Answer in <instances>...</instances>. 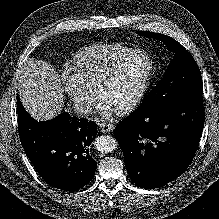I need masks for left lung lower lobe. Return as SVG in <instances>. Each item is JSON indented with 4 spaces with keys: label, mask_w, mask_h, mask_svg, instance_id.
Masks as SVG:
<instances>
[{
    "label": "left lung lower lobe",
    "mask_w": 219,
    "mask_h": 219,
    "mask_svg": "<svg viewBox=\"0 0 219 219\" xmlns=\"http://www.w3.org/2000/svg\"><path fill=\"white\" fill-rule=\"evenodd\" d=\"M204 116L202 95H194L120 121L115 137L131 180L154 189L184 173L199 145Z\"/></svg>",
    "instance_id": "1"
}]
</instances>
